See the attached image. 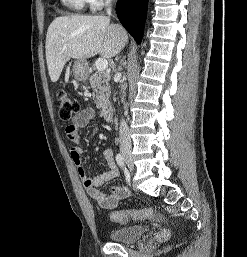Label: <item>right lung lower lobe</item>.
<instances>
[{
    "label": "right lung lower lobe",
    "instance_id": "right-lung-lower-lobe-1",
    "mask_svg": "<svg viewBox=\"0 0 247 257\" xmlns=\"http://www.w3.org/2000/svg\"><path fill=\"white\" fill-rule=\"evenodd\" d=\"M148 0H118L117 16L133 38L141 43Z\"/></svg>",
    "mask_w": 247,
    "mask_h": 257
}]
</instances>
